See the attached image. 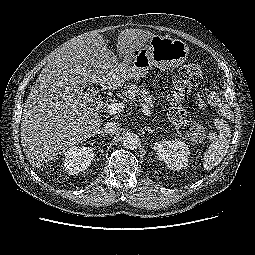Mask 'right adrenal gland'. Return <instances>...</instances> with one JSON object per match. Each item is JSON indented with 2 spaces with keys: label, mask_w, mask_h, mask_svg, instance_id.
Wrapping results in <instances>:
<instances>
[{
  "label": "right adrenal gland",
  "mask_w": 255,
  "mask_h": 255,
  "mask_svg": "<svg viewBox=\"0 0 255 255\" xmlns=\"http://www.w3.org/2000/svg\"><path fill=\"white\" fill-rule=\"evenodd\" d=\"M97 134H100L101 136L105 138V133L103 131H98Z\"/></svg>",
  "instance_id": "right-adrenal-gland-1"
}]
</instances>
